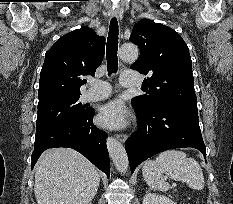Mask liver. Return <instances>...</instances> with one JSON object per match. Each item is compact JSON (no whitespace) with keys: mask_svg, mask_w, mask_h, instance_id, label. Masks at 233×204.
Returning a JSON list of instances; mask_svg holds the SVG:
<instances>
[{"mask_svg":"<svg viewBox=\"0 0 233 204\" xmlns=\"http://www.w3.org/2000/svg\"><path fill=\"white\" fill-rule=\"evenodd\" d=\"M99 182L98 169L70 148L48 149L35 165L37 204H89Z\"/></svg>","mask_w":233,"mask_h":204,"instance_id":"obj_1","label":"liver"}]
</instances>
